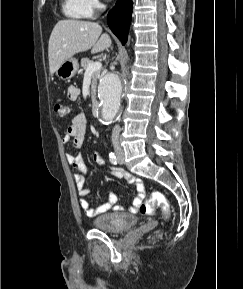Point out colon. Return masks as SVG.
Listing matches in <instances>:
<instances>
[{
  "mask_svg": "<svg viewBox=\"0 0 243 289\" xmlns=\"http://www.w3.org/2000/svg\"><path fill=\"white\" fill-rule=\"evenodd\" d=\"M54 111L58 117L62 118L67 115L68 108L65 104L57 102L54 105ZM157 207L163 211L166 217L170 215L168 200L161 192L154 191L148 199L140 204L139 211L143 215H151Z\"/></svg>",
  "mask_w": 243,
  "mask_h": 289,
  "instance_id": "5ec220e1",
  "label": "colon"
}]
</instances>
